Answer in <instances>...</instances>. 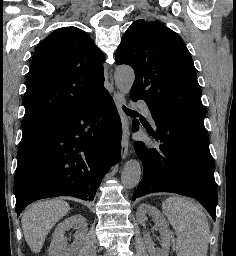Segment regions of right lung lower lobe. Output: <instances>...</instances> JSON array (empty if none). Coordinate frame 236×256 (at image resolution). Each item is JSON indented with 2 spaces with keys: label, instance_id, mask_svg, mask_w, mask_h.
<instances>
[{
  "label": "right lung lower lobe",
  "instance_id": "right-lung-lower-lobe-1",
  "mask_svg": "<svg viewBox=\"0 0 236 256\" xmlns=\"http://www.w3.org/2000/svg\"><path fill=\"white\" fill-rule=\"evenodd\" d=\"M122 125L108 91L22 138L14 178L17 216L39 199L93 200L121 153Z\"/></svg>",
  "mask_w": 236,
  "mask_h": 256
}]
</instances>
